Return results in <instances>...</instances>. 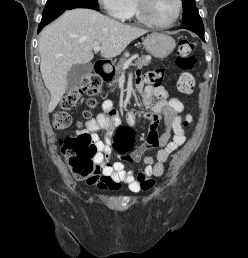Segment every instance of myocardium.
Listing matches in <instances>:
<instances>
[{
	"label": "myocardium",
	"mask_w": 248,
	"mask_h": 258,
	"mask_svg": "<svg viewBox=\"0 0 248 258\" xmlns=\"http://www.w3.org/2000/svg\"><path fill=\"white\" fill-rule=\"evenodd\" d=\"M148 3H149V0H135L138 18L145 24L150 25L152 27H157V28L172 27L179 20L183 11V1L177 0L178 9L175 17L170 22L160 23L150 17L148 12Z\"/></svg>",
	"instance_id": "obj_1"
}]
</instances>
